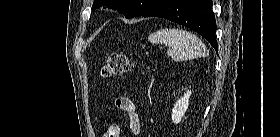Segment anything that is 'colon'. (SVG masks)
<instances>
[{
	"label": "colon",
	"instance_id": "5ec220e1",
	"mask_svg": "<svg viewBox=\"0 0 280 137\" xmlns=\"http://www.w3.org/2000/svg\"><path fill=\"white\" fill-rule=\"evenodd\" d=\"M134 67V60L123 53L110 54L102 66L101 74L104 77L122 76L131 71ZM104 137H120L119 127H112L106 130Z\"/></svg>",
	"mask_w": 280,
	"mask_h": 137
}]
</instances>
